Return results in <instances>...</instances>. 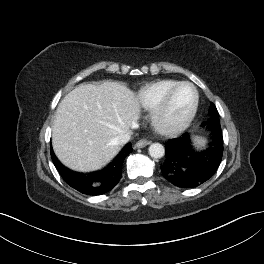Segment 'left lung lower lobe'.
<instances>
[{
	"instance_id": "left-lung-lower-lobe-1",
	"label": "left lung lower lobe",
	"mask_w": 264,
	"mask_h": 264,
	"mask_svg": "<svg viewBox=\"0 0 264 264\" xmlns=\"http://www.w3.org/2000/svg\"><path fill=\"white\" fill-rule=\"evenodd\" d=\"M206 129L209 140L202 149L192 146L188 133L166 142V160L161 171L172 184L181 188H194L217 171L223 155L222 131L220 128Z\"/></svg>"
}]
</instances>
